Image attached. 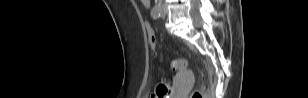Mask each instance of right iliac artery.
Wrapping results in <instances>:
<instances>
[{
  "label": "right iliac artery",
  "instance_id": "obj_1",
  "mask_svg": "<svg viewBox=\"0 0 308 98\" xmlns=\"http://www.w3.org/2000/svg\"><path fill=\"white\" fill-rule=\"evenodd\" d=\"M161 14V7L160 5H155L152 10H151V16L154 18V19H157L159 18Z\"/></svg>",
  "mask_w": 308,
  "mask_h": 98
}]
</instances>
